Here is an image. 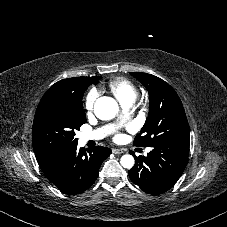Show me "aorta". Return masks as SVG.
Instances as JSON below:
<instances>
[{
    "label": "aorta",
    "mask_w": 227,
    "mask_h": 227,
    "mask_svg": "<svg viewBox=\"0 0 227 227\" xmlns=\"http://www.w3.org/2000/svg\"><path fill=\"white\" fill-rule=\"evenodd\" d=\"M118 111L119 105L111 97H100L94 105V113L101 120L113 119ZM120 163L124 168L130 169L134 166L135 161L132 155L126 154L121 157Z\"/></svg>",
    "instance_id": "762f6f07"
}]
</instances>
